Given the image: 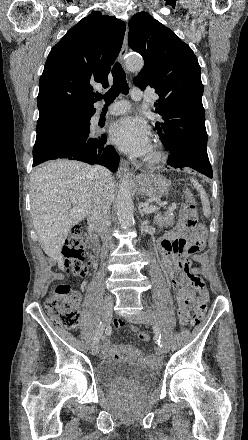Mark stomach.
Wrapping results in <instances>:
<instances>
[{
  "label": "stomach",
  "mask_w": 248,
  "mask_h": 440,
  "mask_svg": "<svg viewBox=\"0 0 248 440\" xmlns=\"http://www.w3.org/2000/svg\"><path fill=\"white\" fill-rule=\"evenodd\" d=\"M135 188L144 197L160 198L168 193L170 186L160 175H143L136 180Z\"/></svg>",
  "instance_id": "0dacf381"
}]
</instances>
